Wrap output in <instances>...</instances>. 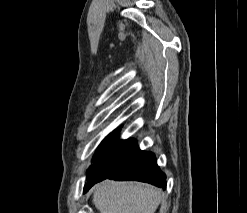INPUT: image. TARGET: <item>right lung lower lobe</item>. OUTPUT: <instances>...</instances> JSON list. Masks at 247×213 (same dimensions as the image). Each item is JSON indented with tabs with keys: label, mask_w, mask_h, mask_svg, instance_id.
I'll list each match as a JSON object with an SVG mask.
<instances>
[{
	"label": "right lung lower lobe",
	"mask_w": 247,
	"mask_h": 213,
	"mask_svg": "<svg viewBox=\"0 0 247 213\" xmlns=\"http://www.w3.org/2000/svg\"><path fill=\"white\" fill-rule=\"evenodd\" d=\"M98 175L85 184L84 192L104 179L137 180L166 188V176L159 169L155 155L141 151L134 139L119 140L100 162Z\"/></svg>",
	"instance_id": "obj_1"
}]
</instances>
